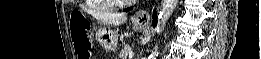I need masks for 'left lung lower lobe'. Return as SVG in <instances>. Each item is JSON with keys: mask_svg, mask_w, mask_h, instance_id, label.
<instances>
[{"mask_svg": "<svg viewBox=\"0 0 261 59\" xmlns=\"http://www.w3.org/2000/svg\"><path fill=\"white\" fill-rule=\"evenodd\" d=\"M131 9H132V8H127V9H125L124 11L128 12V11H130ZM156 24H157V20H156V15L154 14V15H153V26L155 27Z\"/></svg>", "mask_w": 261, "mask_h": 59, "instance_id": "left-lung-lower-lobe-1", "label": "left lung lower lobe"}]
</instances>
